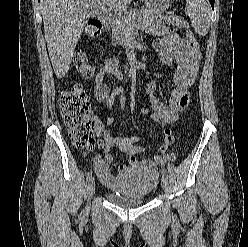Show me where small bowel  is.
<instances>
[{
    "label": "small bowel",
    "instance_id": "obj_1",
    "mask_svg": "<svg viewBox=\"0 0 248 247\" xmlns=\"http://www.w3.org/2000/svg\"><path fill=\"white\" fill-rule=\"evenodd\" d=\"M162 37L153 42V47L160 55L162 61L175 66L174 87L169 94L168 103L164 104L156 94L157 82L150 81L147 84L146 91L149 95V108L142 109L143 113H150L154 121L162 122L163 125L173 123L177 120L178 113L185 109L191 99L190 89L195 82L198 72V63L201 59L199 45L195 40L184 39L168 27L161 28ZM118 59L110 57L100 64L99 71L94 79V96L101 102L108 104L109 88L106 84V74L117 75ZM112 118L102 122L95 119L94 130L97 136L102 137L99 140L98 152L94 159L96 172L100 180L109 187H115L116 177L113 175L111 165L113 163L112 150L118 148L121 152L130 155L129 162L132 166L153 167L163 162L161 154L174 142V135L169 128L163 131V143L159 147V154L152 158H136L135 155L144 153L148 150L146 147L137 146V136H131L121 139L107 131L106 125L111 124ZM101 152L104 153L103 157ZM126 165H119V172H123Z\"/></svg>",
    "mask_w": 248,
    "mask_h": 247
}]
</instances>
